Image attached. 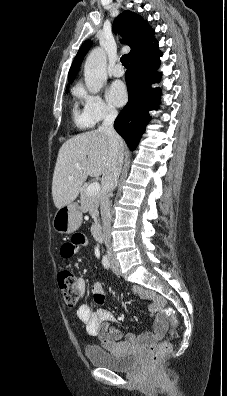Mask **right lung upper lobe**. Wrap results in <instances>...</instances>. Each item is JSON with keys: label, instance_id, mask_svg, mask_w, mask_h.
<instances>
[{"label": "right lung upper lobe", "instance_id": "right-lung-upper-lobe-1", "mask_svg": "<svg viewBox=\"0 0 227 396\" xmlns=\"http://www.w3.org/2000/svg\"><path fill=\"white\" fill-rule=\"evenodd\" d=\"M115 32H120L123 36L124 42L131 47L129 52L130 59L134 57L139 51L151 45L154 41V30L148 26L147 21L132 11H123L116 17L113 24ZM91 46V41H86L80 47L69 71L68 80L72 83L84 56ZM69 85L67 86L68 89Z\"/></svg>", "mask_w": 227, "mask_h": 396}]
</instances>
